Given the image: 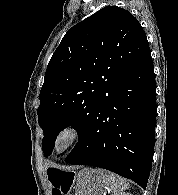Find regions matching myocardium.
I'll return each instance as SVG.
<instances>
[{"label": "myocardium", "mask_w": 178, "mask_h": 195, "mask_svg": "<svg viewBox=\"0 0 178 195\" xmlns=\"http://www.w3.org/2000/svg\"><path fill=\"white\" fill-rule=\"evenodd\" d=\"M81 138V131L76 126L68 125L61 128L53 139V149L58 153H65L73 148ZM62 139H66L65 146L60 147L59 143Z\"/></svg>", "instance_id": "1"}]
</instances>
